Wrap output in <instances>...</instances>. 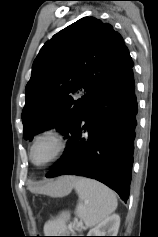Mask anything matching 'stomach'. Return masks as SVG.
<instances>
[{
  "mask_svg": "<svg viewBox=\"0 0 158 237\" xmlns=\"http://www.w3.org/2000/svg\"><path fill=\"white\" fill-rule=\"evenodd\" d=\"M73 187H74L73 184H68L66 186H63L62 188L57 190V192L54 194V196H65L70 193V191L72 190Z\"/></svg>",
  "mask_w": 158,
  "mask_h": 237,
  "instance_id": "0dacf381",
  "label": "stomach"
}]
</instances>
